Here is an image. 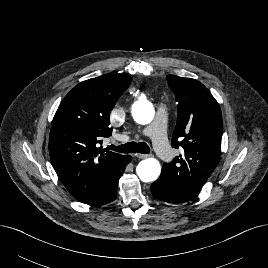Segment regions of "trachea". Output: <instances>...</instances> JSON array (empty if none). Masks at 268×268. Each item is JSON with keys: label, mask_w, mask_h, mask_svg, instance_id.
Wrapping results in <instances>:
<instances>
[{"label": "trachea", "mask_w": 268, "mask_h": 268, "mask_svg": "<svg viewBox=\"0 0 268 268\" xmlns=\"http://www.w3.org/2000/svg\"><path fill=\"white\" fill-rule=\"evenodd\" d=\"M108 150H113L119 153H135L138 151L141 154H149L150 147L145 142H129L120 146L110 145L107 147Z\"/></svg>", "instance_id": "trachea-1"}]
</instances>
